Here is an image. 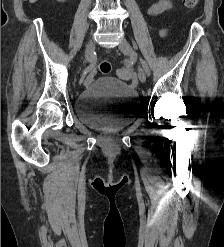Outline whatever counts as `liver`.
Returning a JSON list of instances; mask_svg holds the SVG:
<instances>
[{"instance_id":"obj_1","label":"liver","mask_w":224,"mask_h":247,"mask_svg":"<svg viewBox=\"0 0 224 247\" xmlns=\"http://www.w3.org/2000/svg\"><path fill=\"white\" fill-rule=\"evenodd\" d=\"M30 4H34V2H37V0H29Z\"/></svg>"}]
</instances>
